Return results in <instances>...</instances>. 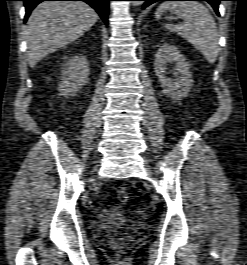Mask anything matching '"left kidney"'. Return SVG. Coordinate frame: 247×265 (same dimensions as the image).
Wrapping results in <instances>:
<instances>
[{"mask_svg": "<svg viewBox=\"0 0 247 265\" xmlns=\"http://www.w3.org/2000/svg\"><path fill=\"white\" fill-rule=\"evenodd\" d=\"M172 62L176 64V76L174 79L166 76V64ZM190 68L189 62L173 45L164 44L155 56V72L159 78L162 91L174 99H181L189 93L193 85Z\"/></svg>", "mask_w": 247, "mask_h": 265, "instance_id": "left-kidney-1", "label": "left kidney"}]
</instances>
